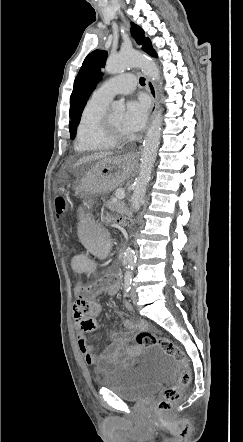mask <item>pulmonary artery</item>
Listing matches in <instances>:
<instances>
[{
    "mask_svg": "<svg viewBox=\"0 0 243 442\" xmlns=\"http://www.w3.org/2000/svg\"><path fill=\"white\" fill-rule=\"evenodd\" d=\"M135 85L136 79L132 73L120 74L105 81L94 91L92 97L109 103L113 97L118 94H127L132 92Z\"/></svg>",
    "mask_w": 243,
    "mask_h": 442,
    "instance_id": "pulmonary-artery-1",
    "label": "pulmonary artery"
}]
</instances>
